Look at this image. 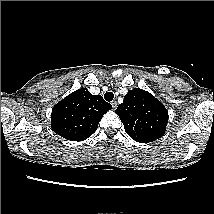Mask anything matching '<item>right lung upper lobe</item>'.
<instances>
[{
  "mask_svg": "<svg viewBox=\"0 0 214 214\" xmlns=\"http://www.w3.org/2000/svg\"><path fill=\"white\" fill-rule=\"evenodd\" d=\"M112 109L101 95H92L87 88L78 89L52 109L51 128L67 140L83 141L96 130L103 115Z\"/></svg>",
  "mask_w": 214,
  "mask_h": 214,
  "instance_id": "cb5924a9",
  "label": "right lung upper lobe"
}]
</instances>
